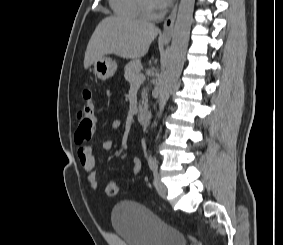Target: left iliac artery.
<instances>
[{
  "instance_id": "left-iliac-artery-1",
  "label": "left iliac artery",
  "mask_w": 283,
  "mask_h": 245,
  "mask_svg": "<svg viewBox=\"0 0 283 245\" xmlns=\"http://www.w3.org/2000/svg\"><path fill=\"white\" fill-rule=\"evenodd\" d=\"M148 165L149 168L155 173L158 169V164L156 162V160L152 157L151 154H149L148 156Z\"/></svg>"
}]
</instances>
